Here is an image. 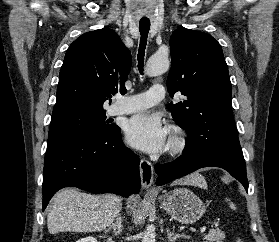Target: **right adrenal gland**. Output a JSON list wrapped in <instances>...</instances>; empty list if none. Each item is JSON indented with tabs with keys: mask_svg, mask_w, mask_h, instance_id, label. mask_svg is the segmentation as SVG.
I'll return each mask as SVG.
<instances>
[{
	"mask_svg": "<svg viewBox=\"0 0 279 242\" xmlns=\"http://www.w3.org/2000/svg\"><path fill=\"white\" fill-rule=\"evenodd\" d=\"M111 229H113V233L115 235H119L122 232L123 225H122V217H121V215L117 216L116 222L113 223L112 225H110V227L108 229H106L105 232H108Z\"/></svg>",
	"mask_w": 279,
	"mask_h": 242,
	"instance_id": "1",
	"label": "right adrenal gland"
}]
</instances>
